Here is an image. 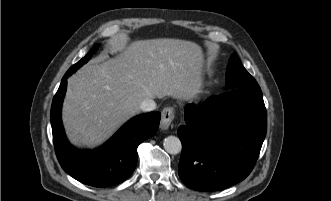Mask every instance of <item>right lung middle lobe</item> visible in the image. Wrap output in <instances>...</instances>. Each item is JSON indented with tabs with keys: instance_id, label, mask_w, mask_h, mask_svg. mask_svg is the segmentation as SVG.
<instances>
[{
	"instance_id": "obj_1",
	"label": "right lung middle lobe",
	"mask_w": 331,
	"mask_h": 201,
	"mask_svg": "<svg viewBox=\"0 0 331 201\" xmlns=\"http://www.w3.org/2000/svg\"><path fill=\"white\" fill-rule=\"evenodd\" d=\"M96 50H97V47L91 49L89 51V53L85 57H83L79 62H77L76 64H74L67 71V74H69V75L73 74L77 69H79L83 64H85L92 57V55L95 53Z\"/></svg>"
}]
</instances>
